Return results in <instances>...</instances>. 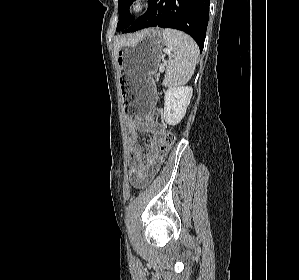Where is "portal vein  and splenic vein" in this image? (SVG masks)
<instances>
[{"mask_svg":"<svg viewBox=\"0 0 299 280\" xmlns=\"http://www.w3.org/2000/svg\"><path fill=\"white\" fill-rule=\"evenodd\" d=\"M164 70H165L164 64H161L160 67H159V71L160 72H164Z\"/></svg>","mask_w":299,"mask_h":280,"instance_id":"portal-vein-and-splenic-vein-1","label":"portal vein and splenic vein"}]
</instances>
